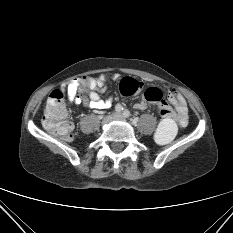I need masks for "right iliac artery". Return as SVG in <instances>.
I'll list each match as a JSON object with an SVG mask.
<instances>
[{
  "mask_svg": "<svg viewBox=\"0 0 233 233\" xmlns=\"http://www.w3.org/2000/svg\"><path fill=\"white\" fill-rule=\"evenodd\" d=\"M115 110L117 111V113H120L123 110V107L120 104H118L116 105Z\"/></svg>",
  "mask_w": 233,
  "mask_h": 233,
  "instance_id": "82829eb1",
  "label": "right iliac artery"
}]
</instances>
